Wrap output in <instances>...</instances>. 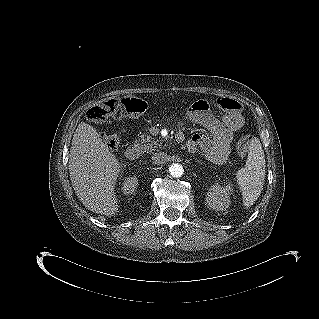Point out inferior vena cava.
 Here are the masks:
<instances>
[{
  "label": "inferior vena cava",
  "mask_w": 319,
  "mask_h": 319,
  "mask_svg": "<svg viewBox=\"0 0 319 319\" xmlns=\"http://www.w3.org/2000/svg\"><path fill=\"white\" fill-rule=\"evenodd\" d=\"M152 161L156 165L164 164L168 161V155L164 152H156L152 156Z\"/></svg>",
  "instance_id": "1"
}]
</instances>
